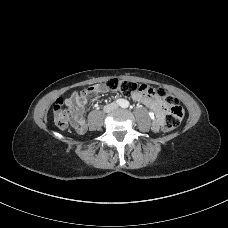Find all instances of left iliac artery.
<instances>
[{
    "mask_svg": "<svg viewBox=\"0 0 228 228\" xmlns=\"http://www.w3.org/2000/svg\"><path fill=\"white\" fill-rule=\"evenodd\" d=\"M122 106H123V107H127L128 104H127L126 102H123Z\"/></svg>",
    "mask_w": 228,
    "mask_h": 228,
    "instance_id": "1",
    "label": "left iliac artery"
}]
</instances>
